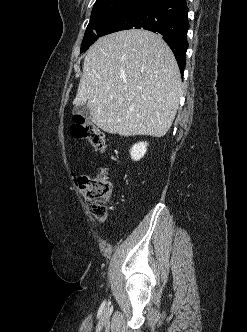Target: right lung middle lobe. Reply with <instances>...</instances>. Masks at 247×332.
I'll return each mask as SVG.
<instances>
[{"mask_svg":"<svg viewBox=\"0 0 247 332\" xmlns=\"http://www.w3.org/2000/svg\"><path fill=\"white\" fill-rule=\"evenodd\" d=\"M147 0H98L82 41L81 52L86 51L114 21Z\"/></svg>","mask_w":247,"mask_h":332,"instance_id":"right-lung-middle-lobe-1","label":"right lung middle lobe"}]
</instances>
